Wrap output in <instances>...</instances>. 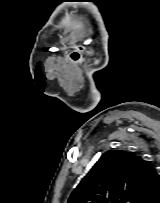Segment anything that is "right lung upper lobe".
I'll return each mask as SVG.
<instances>
[{
	"label": "right lung upper lobe",
	"mask_w": 160,
	"mask_h": 203,
	"mask_svg": "<svg viewBox=\"0 0 160 203\" xmlns=\"http://www.w3.org/2000/svg\"><path fill=\"white\" fill-rule=\"evenodd\" d=\"M160 196V175L131 152L104 153L67 203H151Z\"/></svg>",
	"instance_id": "1"
}]
</instances>
